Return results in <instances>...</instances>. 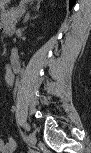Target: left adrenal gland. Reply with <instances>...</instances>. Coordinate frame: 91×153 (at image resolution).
<instances>
[{"mask_svg":"<svg viewBox=\"0 0 91 153\" xmlns=\"http://www.w3.org/2000/svg\"><path fill=\"white\" fill-rule=\"evenodd\" d=\"M29 17H30V16H29V14H28V15L26 16V18H25V21H27V20L29 19Z\"/></svg>","mask_w":91,"mask_h":153,"instance_id":"a2214340","label":"left adrenal gland"}]
</instances>
